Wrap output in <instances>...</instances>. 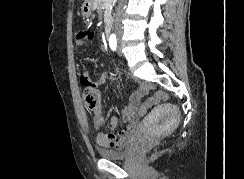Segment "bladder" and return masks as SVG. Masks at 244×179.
Masks as SVG:
<instances>
[{"instance_id": "1", "label": "bladder", "mask_w": 244, "mask_h": 179, "mask_svg": "<svg viewBox=\"0 0 244 179\" xmlns=\"http://www.w3.org/2000/svg\"><path fill=\"white\" fill-rule=\"evenodd\" d=\"M129 152H130L129 149L123 151H115V150H106V149L98 148L97 150L98 155L102 156L105 159H111V160L126 158Z\"/></svg>"}]
</instances>
